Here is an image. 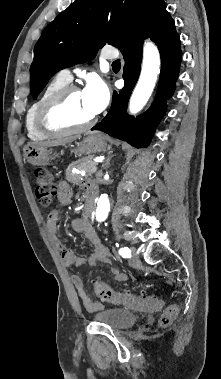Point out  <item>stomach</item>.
Returning a JSON list of instances; mask_svg holds the SVG:
<instances>
[{"label":"stomach","mask_w":221,"mask_h":379,"mask_svg":"<svg viewBox=\"0 0 221 379\" xmlns=\"http://www.w3.org/2000/svg\"><path fill=\"white\" fill-rule=\"evenodd\" d=\"M106 147V139L101 134L89 133L82 142L78 143L75 154L91 155L105 150ZM24 157L34 166H46L52 159L58 157V154L53 153V150L48 147L27 144L24 147Z\"/></svg>","instance_id":"0dacf381"}]
</instances>
